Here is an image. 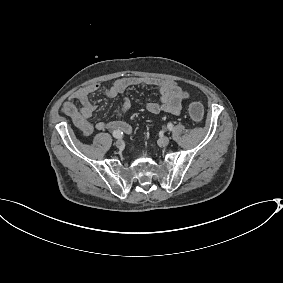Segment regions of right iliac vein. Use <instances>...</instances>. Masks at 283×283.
I'll list each match as a JSON object with an SVG mask.
<instances>
[{"instance_id":"obj_1","label":"right iliac vein","mask_w":283,"mask_h":283,"mask_svg":"<svg viewBox=\"0 0 283 283\" xmlns=\"http://www.w3.org/2000/svg\"><path fill=\"white\" fill-rule=\"evenodd\" d=\"M115 145L118 149H123L125 144H124V141L122 139H118L116 142H115Z\"/></svg>"}]
</instances>
